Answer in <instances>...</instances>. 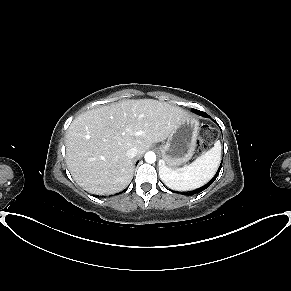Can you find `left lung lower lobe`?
<instances>
[{"mask_svg":"<svg viewBox=\"0 0 291 291\" xmlns=\"http://www.w3.org/2000/svg\"><path fill=\"white\" fill-rule=\"evenodd\" d=\"M192 112H194V113H196V114H198L200 116H203L205 118H210V116L207 113H205V112H202V111H199V110H196V109H193ZM221 166H222V162H221L220 167H219L217 173L215 174V176L206 185H204L201 188H198L196 190H193V191H190V192H186V193H182V194L183 195L185 194V195L191 196V195L198 194V193L202 192L203 190L207 189L215 181V179L219 175Z\"/></svg>","mask_w":291,"mask_h":291,"instance_id":"1","label":"left lung lower lobe"}]
</instances>
